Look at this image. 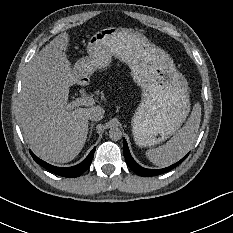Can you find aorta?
Here are the masks:
<instances>
[{
    "label": "aorta",
    "mask_w": 233,
    "mask_h": 233,
    "mask_svg": "<svg viewBox=\"0 0 233 233\" xmlns=\"http://www.w3.org/2000/svg\"><path fill=\"white\" fill-rule=\"evenodd\" d=\"M109 137L114 141H118L122 138V131L118 127H113L109 130Z\"/></svg>",
    "instance_id": "aorta-1"
}]
</instances>
